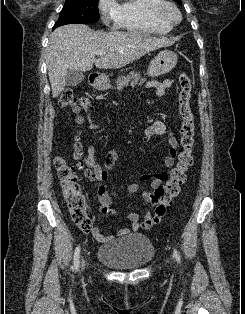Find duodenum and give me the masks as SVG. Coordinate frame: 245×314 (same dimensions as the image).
<instances>
[{
	"instance_id": "obj_1",
	"label": "duodenum",
	"mask_w": 245,
	"mask_h": 314,
	"mask_svg": "<svg viewBox=\"0 0 245 314\" xmlns=\"http://www.w3.org/2000/svg\"><path fill=\"white\" fill-rule=\"evenodd\" d=\"M91 82L94 86H97L99 84V79L96 77H92Z\"/></svg>"
}]
</instances>
